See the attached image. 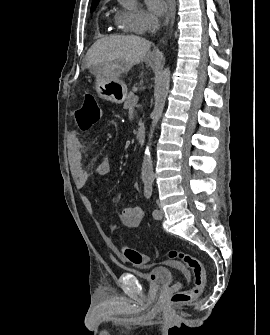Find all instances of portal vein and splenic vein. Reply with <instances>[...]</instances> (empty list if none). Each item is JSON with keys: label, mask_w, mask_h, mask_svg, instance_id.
<instances>
[{"label": "portal vein and splenic vein", "mask_w": 270, "mask_h": 335, "mask_svg": "<svg viewBox=\"0 0 270 335\" xmlns=\"http://www.w3.org/2000/svg\"><path fill=\"white\" fill-rule=\"evenodd\" d=\"M136 99H137V100H140V99H141V96H140V95H137V96H136Z\"/></svg>", "instance_id": "1"}]
</instances>
